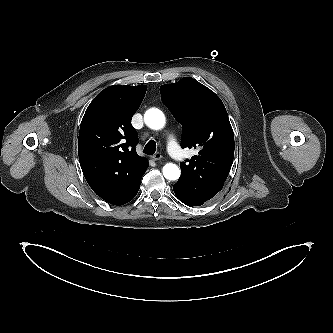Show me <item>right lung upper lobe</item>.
<instances>
[{"label": "right lung upper lobe", "instance_id": "cb5924a9", "mask_svg": "<svg viewBox=\"0 0 333 333\" xmlns=\"http://www.w3.org/2000/svg\"><path fill=\"white\" fill-rule=\"evenodd\" d=\"M147 86L113 85L101 91L88 106L78 138L80 165L92 190L113 205L133 199L148 161L135 150L137 132L131 118Z\"/></svg>", "mask_w": 333, "mask_h": 333}]
</instances>
